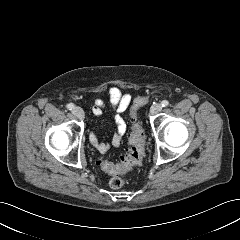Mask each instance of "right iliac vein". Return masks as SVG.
<instances>
[{"mask_svg": "<svg viewBox=\"0 0 240 240\" xmlns=\"http://www.w3.org/2000/svg\"><path fill=\"white\" fill-rule=\"evenodd\" d=\"M73 114L78 118V119H83L84 118V112L83 109L80 107H74L73 109Z\"/></svg>", "mask_w": 240, "mask_h": 240, "instance_id": "right-iliac-vein-1", "label": "right iliac vein"}]
</instances>
